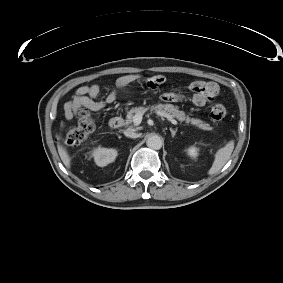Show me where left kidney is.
I'll return each mask as SVG.
<instances>
[{"mask_svg": "<svg viewBox=\"0 0 283 283\" xmlns=\"http://www.w3.org/2000/svg\"><path fill=\"white\" fill-rule=\"evenodd\" d=\"M188 155H190L191 157H196L198 155V149L194 146L190 147L188 150Z\"/></svg>", "mask_w": 283, "mask_h": 283, "instance_id": "obj_1", "label": "left kidney"}]
</instances>
